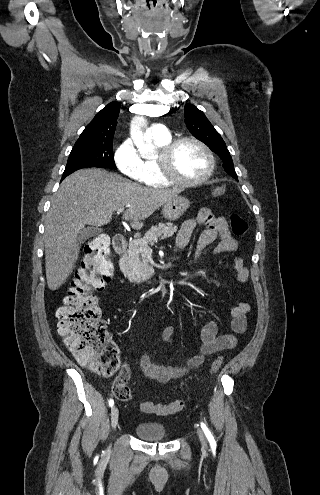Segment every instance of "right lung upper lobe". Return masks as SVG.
I'll return each instance as SVG.
<instances>
[{"label": "right lung upper lobe", "mask_w": 320, "mask_h": 495, "mask_svg": "<svg viewBox=\"0 0 320 495\" xmlns=\"http://www.w3.org/2000/svg\"><path fill=\"white\" fill-rule=\"evenodd\" d=\"M120 104L111 102L86 126L75 145L112 144Z\"/></svg>", "instance_id": "1"}]
</instances>
